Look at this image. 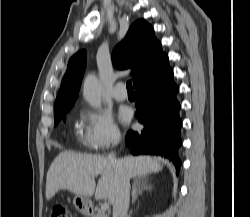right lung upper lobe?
<instances>
[{
  "label": "right lung upper lobe",
  "instance_id": "right-lung-upper-lobe-1",
  "mask_svg": "<svg viewBox=\"0 0 250 217\" xmlns=\"http://www.w3.org/2000/svg\"><path fill=\"white\" fill-rule=\"evenodd\" d=\"M166 56L154 30L144 20L134 22L125 38L114 48L112 61L118 69L132 68L134 85L152 71ZM86 65V51L77 52L69 60L54 105V115L66 112L73 106L79 92Z\"/></svg>",
  "mask_w": 250,
  "mask_h": 217
}]
</instances>
